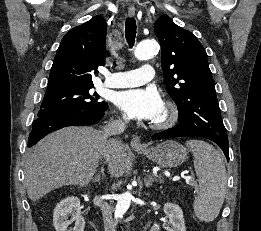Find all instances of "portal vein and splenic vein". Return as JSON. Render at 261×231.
I'll use <instances>...</instances> for the list:
<instances>
[{
  "label": "portal vein and splenic vein",
  "mask_w": 261,
  "mask_h": 231,
  "mask_svg": "<svg viewBox=\"0 0 261 231\" xmlns=\"http://www.w3.org/2000/svg\"><path fill=\"white\" fill-rule=\"evenodd\" d=\"M194 183H195L194 181H190V182H189V184H191V185L194 184Z\"/></svg>",
  "instance_id": "obj_1"
}]
</instances>
